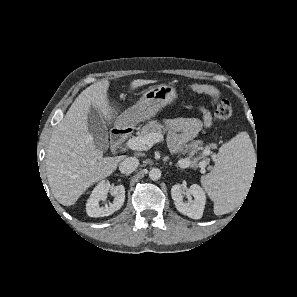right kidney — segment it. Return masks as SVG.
Here are the masks:
<instances>
[{"label": "right kidney", "instance_id": "ca27d5eb", "mask_svg": "<svg viewBox=\"0 0 297 297\" xmlns=\"http://www.w3.org/2000/svg\"><path fill=\"white\" fill-rule=\"evenodd\" d=\"M110 193L115 196L112 204L104 207L99 206V201ZM125 200V187L123 185L111 186L108 180H102L92 191L86 204V212L90 217H104L113 214L119 210Z\"/></svg>", "mask_w": 297, "mask_h": 297}]
</instances>
